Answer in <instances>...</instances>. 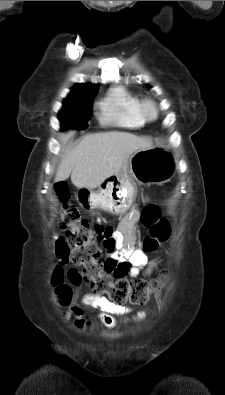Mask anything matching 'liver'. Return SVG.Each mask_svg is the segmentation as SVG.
<instances>
[{"label":"liver","mask_w":225,"mask_h":395,"mask_svg":"<svg viewBox=\"0 0 225 395\" xmlns=\"http://www.w3.org/2000/svg\"><path fill=\"white\" fill-rule=\"evenodd\" d=\"M61 136L65 143L72 135ZM152 148V141L126 132H104L85 136L63 156L55 175V182L65 181L71 175L78 188L94 189L107 178L118 175L126 160L138 150Z\"/></svg>","instance_id":"obj_1"}]
</instances>
